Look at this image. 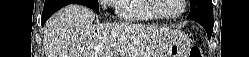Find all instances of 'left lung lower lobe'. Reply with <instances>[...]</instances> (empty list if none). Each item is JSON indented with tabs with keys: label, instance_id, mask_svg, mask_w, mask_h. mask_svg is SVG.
<instances>
[{
	"label": "left lung lower lobe",
	"instance_id": "0a47b994",
	"mask_svg": "<svg viewBox=\"0 0 249 57\" xmlns=\"http://www.w3.org/2000/svg\"><path fill=\"white\" fill-rule=\"evenodd\" d=\"M190 19L201 24L205 28L208 34V39L211 38V35L213 32V26H214L213 17L201 16V17H193Z\"/></svg>",
	"mask_w": 249,
	"mask_h": 57
}]
</instances>
